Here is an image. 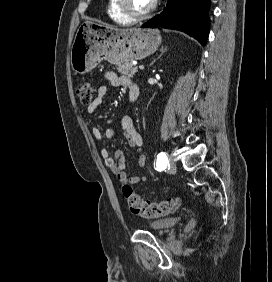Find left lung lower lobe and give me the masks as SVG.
<instances>
[{"mask_svg": "<svg viewBox=\"0 0 272 282\" xmlns=\"http://www.w3.org/2000/svg\"><path fill=\"white\" fill-rule=\"evenodd\" d=\"M209 4L210 0H168L163 12L142 27L180 30L205 45L209 34Z\"/></svg>", "mask_w": 272, "mask_h": 282, "instance_id": "1", "label": "left lung lower lobe"}]
</instances>
